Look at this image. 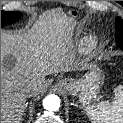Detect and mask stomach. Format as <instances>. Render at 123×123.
Segmentation results:
<instances>
[{
  "mask_svg": "<svg viewBox=\"0 0 123 123\" xmlns=\"http://www.w3.org/2000/svg\"><path fill=\"white\" fill-rule=\"evenodd\" d=\"M70 14L73 17L79 15L77 11H72ZM103 79L100 69L92 68L79 79L61 78L57 86L69 95L78 96L79 102L82 105H87L97 98Z\"/></svg>",
  "mask_w": 123,
  "mask_h": 123,
  "instance_id": "obj_1",
  "label": "stomach"
}]
</instances>
